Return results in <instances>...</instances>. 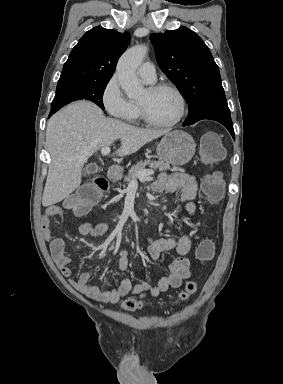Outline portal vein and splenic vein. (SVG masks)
<instances>
[{
	"label": "portal vein and splenic vein",
	"mask_w": 283,
	"mask_h": 384,
	"mask_svg": "<svg viewBox=\"0 0 283 384\" xmlns=\"http://www.w3.org/2000/svg\"><path fill=\"white\" fill-rule=\"evenodd\" d=\"M101 154L107 156V154H110V148H102ZM153 174L154 170H142V172H138L137 178H150ZM134 182H136V180H134Z\"/></svg>",
	"instance_id": "1"
}]
</instances>
